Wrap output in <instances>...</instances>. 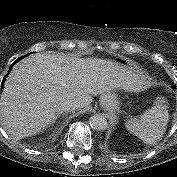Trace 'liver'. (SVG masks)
I'll return each instance as SVG.
<instances>
[{"instance_id": "obj_1", "label": "liver", "mask_w": 177, "mask_h": 177, "mask_svg": "<svg viewBox=\"0 0 177 177\" xmlns=\"http://www.w3.org/2000/svg\"><path fill=\"white\" fill-rule=\"evenodd\" d=\"M139 84L136 74L110 60L35 53L16 63L7 76L0 115L8 134L20 140L53 124L66 100L82 109L90 105L92 96L116 89L131 91Z\"/></svg>"}]
</instances>
